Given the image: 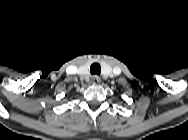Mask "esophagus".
Wrapping results in <instances>:
<instances>
[{
    "label": "esophagus",
    "mask_w": 188,
    "mask_h": 140,
    "mask_svg": "<svg viewBox=\"0 0 188 140\" xmlns=\"http://www.w3.org/2000/svg\"><path fill=\"white\" fill-rule=\"evenodd\" d=\"M93 83L99 84L101 82V78L98 75L93 76Z\"/></svg>",
    "instance_id": "esophagus-1"
}]
</instances>
